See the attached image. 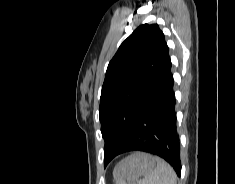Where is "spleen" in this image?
Masks as SVG:
<instances>
[{
  "instance_id": "obj_1",
  "label": "spleen",
  "mask_w": 235,
  "mask_h": 184,
  "mask_svg": "<svg viewBox=\"0 0 235 184\" xmlns=\"http://www.w3.org/2000/svg\"><path fill=\"white\" fill-rule=\"evenodd\" d=\"M155 162L156 168L152 174H148L143 180H139L137 184H176L177 178L173 168L157 156H155Z\"/></svg>"
}]
</instances>
